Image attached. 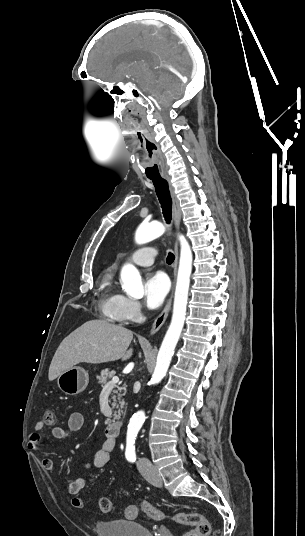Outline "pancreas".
<instances>
[{
    "instance_id": "1",
    "label": "pancreas",
    "mask_w": 305,
    "mask_h": 536,
    "mask_svg": "<svg viewBox=\"0 0 305 536\" xmlns=\"http://www.w3.org/2000/svg\"><path fill=\"white\" fill-rule=\"evenodd\" d=\"M100 374L101 376H96V380H98V384H102V386L103 384H107L109 378H113V376H115V372H109V368H106V370H101ZM122 390H125V388H119V390H113L112 408H117V410H115L114 412L115 418H120L121 414H123L122 408H124L125 402H119L120 408H119V404H117V400H120V398H122V396H125L126 394V392H123V394H120Z\"/></svg>"
}]
</instances>
